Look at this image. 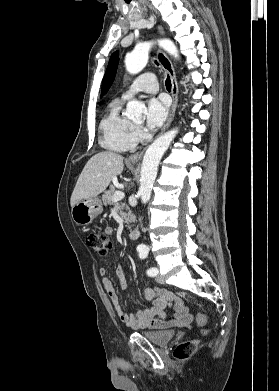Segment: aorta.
<instances>
[{
  "label": "aorta",
  "mask_w": 279,
  "mask_h": 391,
  "mask_svg": "<svg viewBox=\"0 0 279 391\" xmlns=\"http://www.w3.org/2000/svg\"><path fill=\"white\" fill-rule=\"evenodd\" d=\"M159 45L175 58H179L177 47L172 41L161 40ZM151 47L152 42L140 43L131 53L126 55L125 66L130 74H137L146 66ZM143 109V103L136 100L129 101L126 106V116L131 119H139ZM177 133L178 129L176 128L162 134L148 147L144 154L138 192L143 204L150 200L160 160Z\"/></svg>",
  "instance_id": "aorta-1"
}]
</instances>
